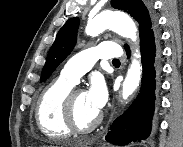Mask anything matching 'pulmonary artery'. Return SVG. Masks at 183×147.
<instances>
[{
	"instance_id": "obj_1",
	"label": "pulmonary artery",
	"mask_w": 183,
	"mask_h": 147,
	"mask_svg": "<svg viewBox=\"0 0 183 147\" xmlns=\"http://www.w3.org/2000/svg\"><path fill=\"white\" fill-rule=\"evenodd\" d=\"M123 51L120 45L103 42L73 56L61 70L60 77L77 84L81 76L87 73L98 59L121 58Z\"/></svg>"
}]
</instances>
